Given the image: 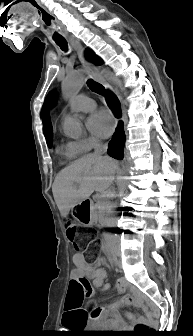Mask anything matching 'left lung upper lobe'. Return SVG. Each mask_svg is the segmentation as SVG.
Returning <instances> with one entry per match:
<instances>
[{"mask_svg": "<svg viewBox=\"0 0 193 336\" xmlns=\"http://www.w3.org/2000/svg\"><path fill=\"white\" fill-rule=\"evenodd\" d=\"M87 56L88 58L91 59V54H90V51L87 50ZM95 64H102V60L98 57L95 56V60L91 59ZM53 100H54V95L51 94L47 97V99L45 100V103L43 105V108L46 106V105H51L53 103Z\"/></svg>", "mask_w": 193, "mask_h": 336, "instance_id": "left-lung-upper-lobe-1", "label": "left lung upper lobe"}]
</instances>
